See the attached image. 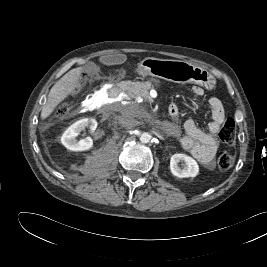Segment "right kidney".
<instances>
[{
  "label": "right kidney",
  "instance_id": "obj_1",
  "mask_svg": "<svg viewBox=\"0 0 267 267\" xmlns=\"http://www.w3.org/2000/svg\"><path fill=\"white\" fill-rule=\"evenodd\" d=\"M86 127H89L91 131H94L97 128V121L92 118H84L76 121L63 133L61 143L71 151L89 150L93 146V140L91 137H86L79 141L76 140V137Z\"/></svg>",
  "mask_w": 267,
  "mask_h": 267
}]
</instances>
